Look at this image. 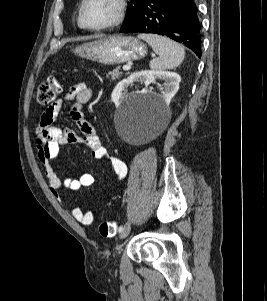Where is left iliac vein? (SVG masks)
<instances>
[{
  "instance_id": "obj_1",
  "label": "left iliac vein",
  "mask_w": 267,
  "mask_h": 301,
  "mask_svg": "<svg viewBox=\"0 0 267 301\" xmlns=\"http://www.w3.org/2000/svg\"><path fill=\"white\" fill-rule=\"evenodd\" d=\"M131 231V224L126 223V225L123 227V230L120 232L119 237L120 239L126 238Z\"/></svg>"
}]
</instances>
